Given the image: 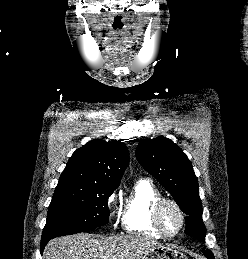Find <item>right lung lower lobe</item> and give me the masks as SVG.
Instances as JSON below:
<instances>
[{
  "instance_id": "obj_1",
  "label": "right lung lower lobe",
  "mask_w": 248,
  "mask_h": 259,
  "mask_svg": "<svg viewBox=\"0 0 248 259\" xmlns=\"http://www.w3.org/2000/svg\"><path fill=\"white\" fill-rule=\"evenodd\" d=\"M49 240H50V238H41V249H40L41 254H42V252L44 250V247L46 246V244L48 243Z\"/></svg>"
}]
</instances>
